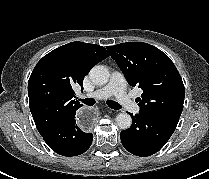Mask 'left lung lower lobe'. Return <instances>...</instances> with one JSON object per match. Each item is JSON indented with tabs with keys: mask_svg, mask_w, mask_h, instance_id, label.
Wrapping results in <instances>:
<instances>
[{
	"mask_svg": "<svg viewBox=\"0 0 209 179\" xmlns=\"http://www.w3.org/2000/svg\"><path fill=\"white\" fill-rule=\"evenodd\" d=\"M132 126L121 132V142L130 153L146 157L158 152L176 129L179 118L139 111Z\"/></svg>",
	"mask_w": 209,
	"mask_h": 179,
	"instance_id": "obj_1",
	"label": "left lung lower lobe"
}]
</instances>
